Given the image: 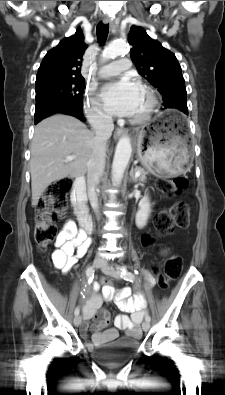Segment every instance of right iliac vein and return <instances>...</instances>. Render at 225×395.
<instances>
[{
	"instance_id": "63e3f726",
	"label": "right iliac vein",
	"mask_w": 225,
	"mask_h": 395,
	"mask_svg": "<svg viewBox=\"0 0 225 395\" xmlns=\"http://www.w3.org/2000/svg\"><path fill=\"white\" fill-rule=\"evenodd\" d=\"M103 259L100 257H96L93 261V268L97 269L99 267H101V265L103 264ZM81 323V316L80 315H76L74 317V325L75 326H79V324Z\"/></svg>"
}]
</instances>
